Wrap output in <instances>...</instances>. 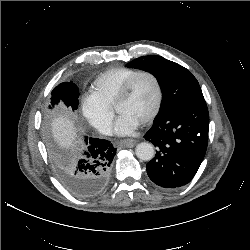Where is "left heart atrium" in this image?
Returning a JSON list of instances; mask_svg holds the SVG:
<instances>
[{
	"instance_id": "1",
	"label": "left heart atrium",
	"mask_w": 250,
	"mask_h": 250,
	"mask_svg": "<svg viewBox=\"0 0 250 250\" xmlns=\"http://www.w3.org/2000/svg\"><path fill=\"white\" fill-rule=\"evenodd\" d=\"M138 123L130 117L120 114L115 122L114 130L119 135H128L134 132Z\"/></svg>"
}]
</instances>
